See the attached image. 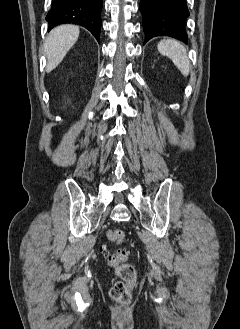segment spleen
Wrapping results in <instances>:
<instances>
[{
	"instance_id": "1",
	"label": "spleen",
	"mask_w": 240,
	"mask_h": 329,
	"mask_svg": "<svg viewBox=\"0 0 240 329\" xmlns=\"http://www.w3.org/2000/svg\"><path fill=\"white\" fill-rule=\"evenodd\" d=\"M158 51L169 57L184 76L190 72V61L185 47L174 39H163L157 45Z\"/></svg>"
}]
</instances>
